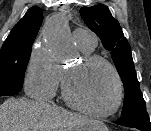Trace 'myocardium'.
<instances>
[{"label": "myocardium", "instance_id": "myocardium-1", "mask_svg": "<svg viewBox=\"0 0 151 131\" xmlns=\"http://www.w3.org/2000/svg\"><path fill=\"white\" fill-rule=\"evenodd\" d=\"M94 64L105 65L110 70V72L112 73L114 77L117 92H116L115 101L111 107L103 111L93 110L87 107L86 105H84L83 103H81L80 101H78L72 95L69 88V80L71 76L74 74V72L76 71V69H70L66 71L64 79H63V84H62V93H63V97L65 101L76 110L92 117L106 118L115 114L119 110L120 106L122 105V102L124 99V85H123V81L119 72L109 60L98 55H84L83 56L82 62H81L82 67H88Z\"/></svg>", "mask_w": 151, "mask_h": 131}]
</instances>
